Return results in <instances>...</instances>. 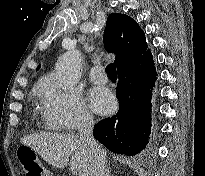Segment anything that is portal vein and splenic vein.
Wrapping results in <instances>:
<instances>
[{"instance_id":"portal-vein-and-splenic-vein-1","label":"portal vein and splenic vein","mask_w":205,"mask_h":176,"mask_svg":"<svg viewBox=\"0 0 205 176\" xmlns=\"http://www.w3.org/2000/svg\"><path fill=\"white\" fill-rule=\"evenodd\" d=\"M80 176H88L87 174H81Z\"/></svg>"}]
</instances>
